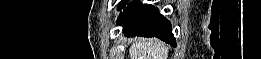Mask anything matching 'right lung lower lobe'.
Returning a JSON list of instances; mask_svg holds the SVG:
<instances>
[{
  "label": "right lung lower lobe",
  "instance_id": "1",
  "mask_svg": "<svg viewBox=\"0 0 261 59\" xmlns=\"http://www.w3.org/2000/svg\"><path fill=\"white\" fill-rule=\"evenodd\" d=\"M127 2L124 1L119 9L125 7ZM117 24L123 26V32L126 36L157 37L176 46L170 22L164 19V16L152 5H143L139 1L131 2L127 9L120 14Z\"/></svg>",
  "mask_w": 261,
  "mask_h": 59
}]
</instances>
